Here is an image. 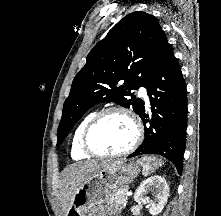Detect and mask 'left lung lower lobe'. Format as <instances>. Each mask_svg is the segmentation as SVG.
<instances>
[{"mask_svg": "<svg viewBox=\"0 0 221 216\" xmlns=\"http://www.w3.org/2000/svg\"><path fill=\"white\" fill-rule=\"evenodd\" d=\"M151 115L140 114L145 126L143 143L128 156L159 154L172 161L179 174L183 169V155L187 127V90L173 50L168 43L152 70L148 83Z\"/></svg>", "mask_w": 221, "mask_h": 216, "instance_id": "0a47b994", "label": "left lung lower lobe"}]
</instances>
